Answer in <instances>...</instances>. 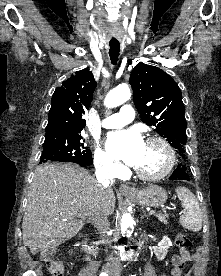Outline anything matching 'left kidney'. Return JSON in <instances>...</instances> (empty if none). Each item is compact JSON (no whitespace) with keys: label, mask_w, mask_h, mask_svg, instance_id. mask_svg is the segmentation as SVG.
Instances as JSON below:
<instances>
[{"label":"left kidney","mask_w":221,"mask_h":276,"mask_svg":"<svg viewBox=\"0 0 221 276\" xmlns=\"http://www.w3.org/2000/svg\"><path fill=\"white\" fill-rule=\"evenodd\" d=\"M172 246L171 240L164 236L163 239L159 242L158 246L153 247L154 249V254L159 260H164L167 253L168 249Z\"/></svg>","instance_id":"5707ae66"}]
</instances>
